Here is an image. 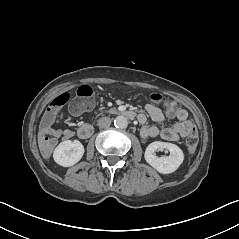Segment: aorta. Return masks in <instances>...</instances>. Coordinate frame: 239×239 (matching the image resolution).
<instances>
[{"mask_svg": "<svg viewBox=\"0 0 239 239\" xmlns=\"http://www.w3.org/2000/svg\"><path fill=\"white\" fill-rule=\"evenodd\" d=\"M114 125L116 128L125 129L128 126V120L124 116H117Z\"/></svg>", "mask_w": 239, "mask_h": 239, "instance_id": "aorta-1", "label": "aorta"}]
</instances>
